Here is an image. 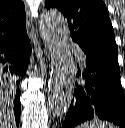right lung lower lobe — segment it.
I'll list each match as a JSON object with an SVG mask.
<instances>
[{"label":"right lung lower lobe","instance_id":"right-lung-lower-lobe-1","mask_svg":"<svg viewBox=\"0 0 125 128\" xmlns=\"http://www.w3.org/2000/svg\"><path fill=\"white\" fill-rule=\"evenodd\" d=\"M30 53L31 46L26 32L0 44V72L14 78L13 82L8 84L16 91L14 115L17 125H19L21 113L19 84L27 69Z\"/></svg>","mask_w":125,"mask_h":128}]
</instances>
